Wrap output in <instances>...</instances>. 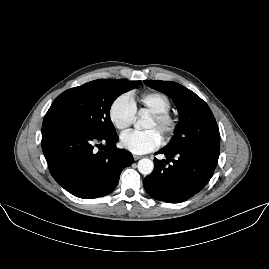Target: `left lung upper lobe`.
Here are the masks:
<instances>
[{
	"label": "left lung upper lobe",
	"instance_id": "5c2ea615",
	"mask_svg": "<svg viewBox=\"0 0 269 269\" xmlns=\"http://www.w3.org/2000/svg\"><path fill=\"white\" fill-rule=\"evenodd\" d=\"M144 83L172 98L177 106L180 121L176 125L175 135L166 147L206 149L219 154V129L205 101L175 82L145 80Z\"/></svg>",
	"mask_w": 269,
	"mask_h": 269
}]
</instances>
